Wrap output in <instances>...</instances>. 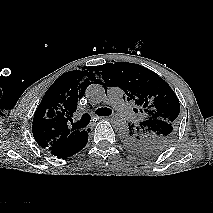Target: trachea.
I'll return each mask as SVG.
<instances>
[{
  "instance_id": "1",
  "label": "trachea",
  "mask_w": 213,
  "mask_h": 213,
  "mask_svg": "<svg viewBox=\"0 0 213 213\" xmlns=\"http://www.w3.org/2000/svg\"><path fill=\"white\" fill-rule=\"evenodd\" d=\"M112 111L108 108H99L96 110V114L99 116H107L110 115ZM91 117L88 113L82 115L81 120L77 121L76 123H72L73 128L79 129L84 128L90 123Z\"/></svg>"
}]
</instances>
